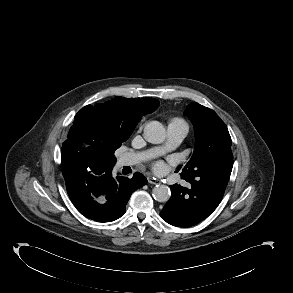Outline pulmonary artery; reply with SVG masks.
Here are the masks:
<instances>
[{
	"label": "pulmonary artery",
	"mask_w": 293,
	"mask_h": 293,
	"mask_svg": "<svg viewBox=\"0 0 293 293\" xmlns=\"http://www.w3.org/2000/svg\"><path fill=\"white\" fill-rule=\"evenodd\" d=\"M188 132L187 127L177 124H169L167 129V142L161 147H156L144 152L125 154L120 159V165H135L149 158L158 156L166 151L172 150L177 147Z\"/></svg>",
	"instance_id": "e3ab8cb5"
}]
</instances>
